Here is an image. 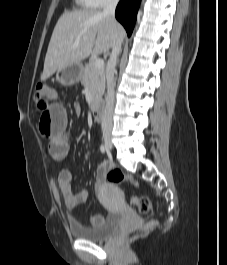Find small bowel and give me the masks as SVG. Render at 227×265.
<instances>
[{"instance_id": "obj_1", "label": "small bowel", "mask_w": 227, "mask_h": 265, "mask_svg": "<svg viewBox=\"0 0 227 265\" xmlns=\"http://www.w3.org/2000/svg\"><path fill=\"white\" fill-rule=\"evenodd\" d=\"M80 111V107L76 106ZM67 113L65 108L58 102H54L47 109H42L39 129L41 134L48 140V152L55 160H63L67 157L70 150V140L67 133ZM109 170V165L103 163L95 171V190H99L103 184L104 178ZM72 172L63 168L57 177L58 188L65 206L69 209L76 208L88 199V192L81 190L75 192L71 187ZM101 215H93L90 222L93 226H98L103 222ZM72 222L75 219L70 217Z\"/></svg>"}]
</instances>
